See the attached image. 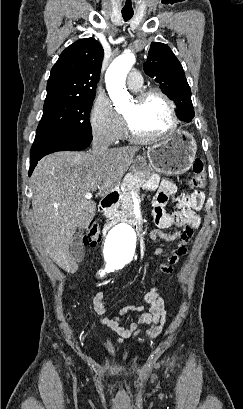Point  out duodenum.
<instances>
[{"mask_svg":"<svg viewBox=\"0 0 243 409\" xmlns=\"http://www.w3.org/2000/svg\"><path fill=\"white\" fill-rule=\"evenodd\" d=\"M119 199V193L117 190L112 191L110 194H108L106 197H104L100 204H99V210L100 211H106L114 207ZM131 226L135 229L138 230L139 226L137 221L135 220H130ZM112 226V223H107L104 227V231L107 232Z\"/></svg>","mask_w":243,"mask_h":409,"instance_id":"obj_1","label":"duodenum"}]
</instances>
